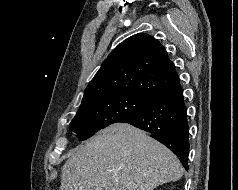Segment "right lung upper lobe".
Instances as JSON below:
<instances>
[{"instance_id": "obj_1", "label": "right lung upper lobe", "mask_w": 238, "mask_h": 190, "mask_svg": "<svg viewBox=\"0 0 238 190\" xmlns=\"http://www.w3.org/2000/svg\"><path fill=\"white\" fill-rule=\"evenodd\" d=\"M178 83L165 48L152 36L138 33L109 54L87 86L82 102L118 94L154 102Z\"/></svg>"}]
</instances>
